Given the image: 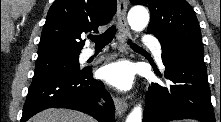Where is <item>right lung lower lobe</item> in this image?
Wrapping results in <instances>:
<instances>
[{
    "label": "right lung lower lobe",
    "mask_w": 221,
    "mask_h": 122,
    "mask_svg": "<svg viewBox=\"0 0 221 122\" xmlns=\"http://www.w3.org/2000/svg\"><path fill=\"white\" fill-rule=\"evenodd\" d=\"M106 97L99 106L100 97ZM47 108H68L82 111L99 122H114L115 107L102 82L93 79L92 69L79 73L59 74L33 80L23 108L21 122Z\"/></svg>",
    "instance_id": "obj_1"
}]
</instances>
